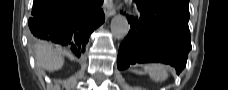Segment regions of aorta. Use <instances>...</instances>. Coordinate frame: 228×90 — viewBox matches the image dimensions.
I'll use <instances>...</instances> for the list:
<instances>
[{
    "mask_svg": "<svg viewBox=\"0 0 228 90\" xmlns=\"http://www.w3.org/2000/svg\"><path fill=\"white\" fill-rule=\"evenodd\" d=\"M111 32L116 39H123L129 32L127 19L122 15L115 16L111 21Z\"/></svg>",
    "mask_w": 228,
    "mask_h": 90,
    "instance_id": "762f6f07",
    "label": "aorta"
}]
</instances>
